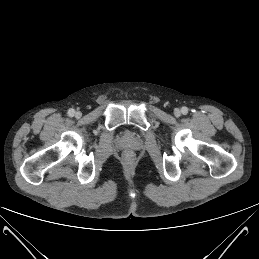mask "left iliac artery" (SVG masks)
<instances>
[{
  "label": "left iliac artery",
  "mask_w": 259,
  "mask_h": 259,
  "mask_svg": "<svg viewBox=\"0 0 259 259\" xmlns=\"http://www.w3.org/2000/svg\"><path fill=\"white\" fill-rule=\"evenodd\" d=\"M181 112L183 115H186L188 113V108L187 107H182Z\"/></svg>",
  "instance_id": "1"
}]
</instances>
